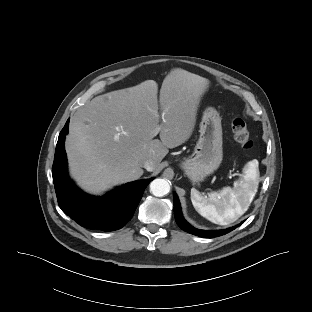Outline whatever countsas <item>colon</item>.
<instances>
[{
  "instance_id": "colon-1",
  "label": "colon",
  "mask_w": 312,
  "mask_h": 312,
  "mask_svg": "<svg viewBox=\"0 0 312 312\" xmlns=\"http://www.w3.org/2000/svg\"><path fill=\"white\" fill-rule=\"evenodd\" d=\"M233 136L238 145L244 150L253 147V140L245 121L241 117H234L231 121Z\"/></svg>"
}]
</instances>
